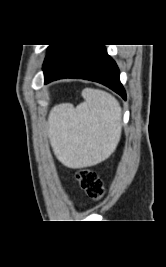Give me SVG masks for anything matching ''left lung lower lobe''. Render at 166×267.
Here are the masks:
<instances>
[{"mask_svg": "<svg viewBox=\"0 0 166 267\" xmlns=\"http://www.w3.org/2000/svg\"><path fill=\"white\" fill-rule=\"evenodd\" d=\"M44 83L62 78H81L99 82L126 99L119 69L104 45H54L44 65Z\"/></svg>", "mask_w": 166, "mask_h": 267, "instance_id": "1", "label": "left lung lower lobe"}]
</instances>
